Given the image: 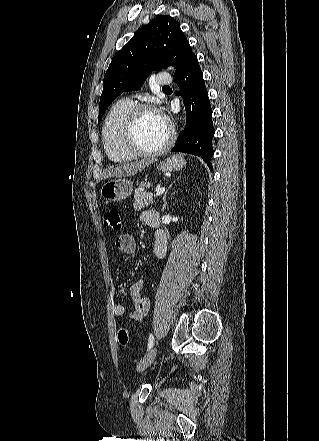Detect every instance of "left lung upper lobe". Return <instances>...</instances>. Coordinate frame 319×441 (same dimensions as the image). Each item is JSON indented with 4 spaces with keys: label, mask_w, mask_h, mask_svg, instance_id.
<instances>
[{
    "label": "left lung upper lobe",
    "mask_w": 319,
    "mask_h": 441,
    "mask_svg": "<svg viewBox=\"0 0 319 441\" xmlns=\"http://www.w3.org/2000/svg\"><path fill=\"white\" fill-rule=\"evenodd\" d=\"M194 56L179 22L169 15L157 16L139 29L111 61L104 76L98 122L117 96L138 89L153 70L173 65L176 76Z\"/></svg>",
    "instance_id": "5c2ea615"
}]
</instances>
